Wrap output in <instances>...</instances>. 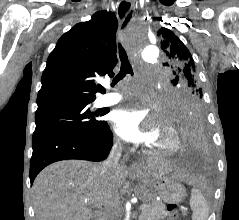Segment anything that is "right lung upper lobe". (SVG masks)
I'll return each mask as SVG.
<instances>
[{
    "instance_id": "cb5924a9",
    "label": "right lung upper lobe",
    "mask_w": 239,
    "mask_h": 220,
    "mask_svg": "<svg viewBox=\"0 0 239 220\" xmlns=\"http://www.w3.org/2000/svg\"><path fill=\"white\" fill-rule=\"evenodd\" d=\"M117 19L112 12H96L91 20L76 24L58 40L47 59L42 87L37 96L39 108L88 104L95 93L96 75L114 76L117 63L115 36Z\"/></svg>"
}]
</instances>
